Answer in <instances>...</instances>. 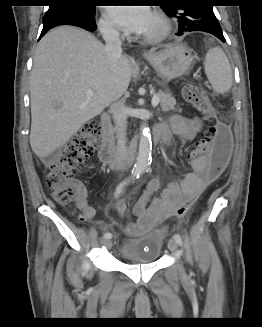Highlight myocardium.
Here are the masks:
<instances>
[{"mask_svg":"<svg viewBox=\"0 0 262 327\" xmlns=\"http://www.w3.org/2000/svg\"><path fill=\"white\" fill-rule=\"evenodd\" d=\"M153 20L155 22L154 30L144 33L142 39L147 42H159L164 40L171 31V26L167 18L160 12L153 13Z\"/></svg>","mask_w":262,"mask_h":327,"instance_id":"myocardium-1","label":"myocardium"}]
</instances>
